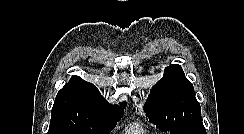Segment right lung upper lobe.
<instances>
[{"label": "right lung upper lobe", "instance_id": "obj_1", "mask_svg": "<svg viewBox=\"0 0 244 134\" xmlns=\"http://www.w3.org/2000/svg\"><path fill=\"white\" fill-rule=\"evenodd\" d=\"M125 102L110 105L91 83L73 76L58 92L51 115H63L78 118H109L123 114Z\"/></svg>", "mask_w": 244, "mask_h": 134}]
</instances>
